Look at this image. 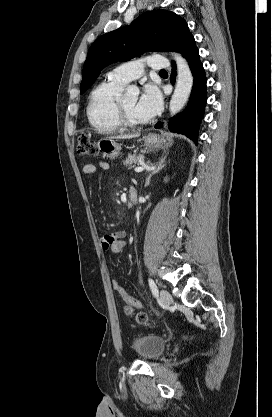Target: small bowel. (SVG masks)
Returning <instances> with one entry per match:
<instances>
[{"mask_svg": "<svg viewBox=\"0 0 272 417\" xmlns=\"http://www.w3.org/2000/svg\"><path fill=\"white\" fill-rule=\"evenodd\" d=\"M109 168V164L105 161H99L97 164H86L82 168V172L85 175H92L94 174L98 169L99 170H107ZM124 237L125 238V232L124 231H113L110 233H106L102 239H101V245L104 250L108 249L109 243L116 238Z\"/></svg>", "mask_w": 272, "mask_h": 417, "instance_id": "small-bowel-1", "label": "small bowel"}]
</instances>
